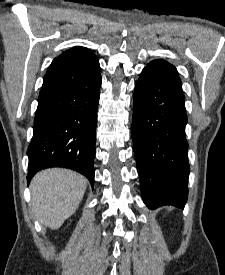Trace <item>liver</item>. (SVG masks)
I'll use <instances>...</instances> for the list:
<instances>
[{
  "label": "liver",
  "mask_w": 225,
  "mask_h": 275,
  "mask_svg": "<svg viewBox=\"0 0 225 275\" xmlns=\"http://www.w3.org/2000/svg\"><path fill=\"white\" fill-rule=\"evenodd\" d=\"M87 187L80 174L62 168L37 173L31 181L32 208L41 224L58 229L77 210Z\"/></svg>",
  "instance_id": "liver-1"
}]
</instances>
